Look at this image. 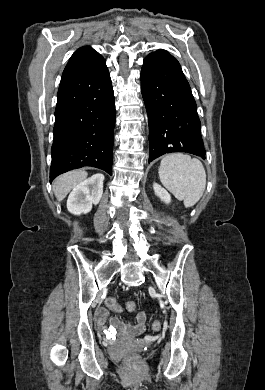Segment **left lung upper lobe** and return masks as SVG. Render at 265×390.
<instances>
[{"mask_svg":"<svg viewBox=\"0 0 265 390\" xmlns=\"http://www.w3.org/2000/svg\"><path fill=\"white\" fill-rule=\"evenodd\" d=\"M155 52H160V53H167V54H169L167 51H165V50H157V51H155Z\"/></svg>","mask_w":265,"mask_h":390,"instance_id":"5c2ea615","label":"left lung upper lobe"}]
</instances>
